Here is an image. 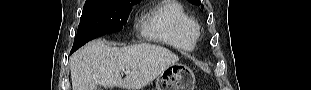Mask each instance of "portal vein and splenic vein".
<instances>
[{"mask_svg": "<svg viewBox=\"0 0 311 90\" xmlns=\"http://www.w3.org/2000/svg\"><path fill=\"white\" fill-rule=\"evenodd\" d=\"M125 73H129V71H124Z\"/></svg>", "mask_w": 311, "mask_h": 90, "instance_id": "1", "label": "portal vein and splenic vein"}]
</instances>
